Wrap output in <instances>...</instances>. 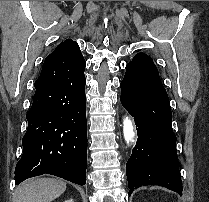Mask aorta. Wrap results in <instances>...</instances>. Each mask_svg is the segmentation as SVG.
Returning <instances> with one entry per match:
<instances>
[{
	"label": "aorta",
	"mask_w": 209,
	"mask_h": 202,
	"mask_svg": "<svg viewBox=\"0 0 209 202\" xmlns=\"http://www.w3.org/2000/svg\"><path fill=\"white\" fill-rule=\"evenodd\" d=\"M123 134L127 143L134 142L135 128L132 121L128 117H126L123 121Z\"/></svg>",
	"instance_id": "aorta-1"
}]
</instances>
